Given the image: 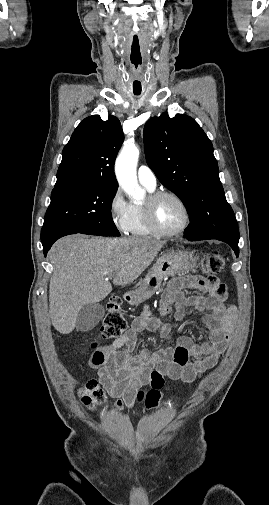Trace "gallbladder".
<instances>
[{
	"label": "gallbladder",
	"instance_id": "gallbladder-1",
	"mask_svg": "<svg viewBox=\"0 0 269 505\" xmlns=\"http://www.w3.org/2000/svg\"><path fill=\"white\" fill-rule=\"evenodd\" d=\"M105 313L100 303H88L84 305L76 319V329L81 332L92 330L103 318Z\"/></svg>",
	"mask_w": 269,
	"mask_h": 505
}]
</instances>
